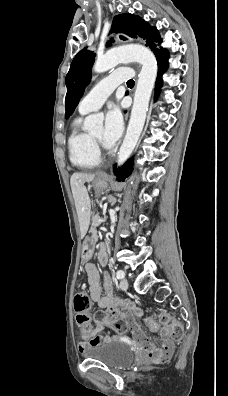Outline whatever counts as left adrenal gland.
<instances>
[{"label":"left adrenal gland","mask_w":228,"mask_h":396,"mask_svg":"<svg viewBox=\"0 0 228 396\" xmlns=\"http://www.w3.org/2000/svg\"><path fill=\"white\" fill-rule=\"evenodd\" d=\"M109 202L111 203V205L113 206L116 202V199L112 196L109 197Z\"/></svg>","instance_id":"a2214340"}]
</instances>
